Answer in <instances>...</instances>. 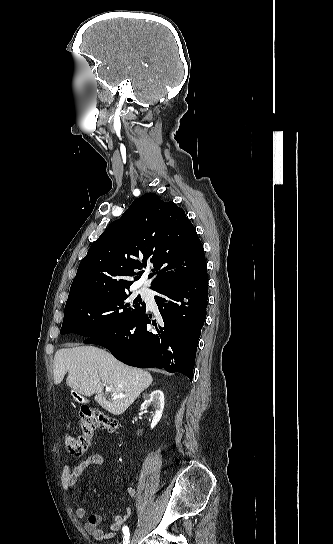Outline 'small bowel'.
Instances as JSON below:
<instances>
[{
    "label": "small bowel",
    "mask_w": 333,
    "mask_h": 544,
    "mask_svg": "<svg viewBox=\"0 0 333 544\" xmlns=\"http://www.w3.org/2000/svg\"><path fill=\"white\" fill-rule=\"evenodd\" d=\"M104 464V458L101 454L93 453L89 455L84 460L80 461L76 466L71 468L69 465L65 464L62 469L61 474V483L64 492L69 493V491L75 486L78 479L84 473V471L89 467H101ZM127 495L131 498L136 496V489L133 487H128ZM132 514V508L127 507L124 512L120 515H116L113 518V521L109 525V531L106 532L103 528L100 527L102 523V516L100 514H90L87 515V511L84 507H78L75 511V515L79 519H86L85 529L97 540H105L114 537L115 533L121 529L123 524L130 518Z\"/></svg>",
    "instance_id": "obj_1"
}]
</instances>
